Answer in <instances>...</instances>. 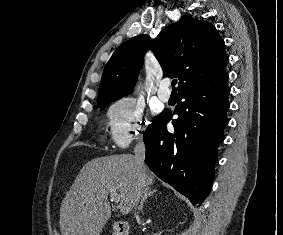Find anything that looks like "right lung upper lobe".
Masks as SVG:
<instances>
[{"instance_id":"cb5924a9","label":"right lung upper lobe","mask_w":283,"mask_h":235,"mask_svg":"<svg viewBox=\"0 0 283 235\" xmlns=\"http://www.w3.org/2000/svg\"><path fill=\"white\" fill-rule=\"evenodd\" d=\"M148 49H152L164 75L179 78L178 90L220 75L229 62L216 28L185 15L155 39L138 35L116 49L105 66L97 104L116 101L132 91Z\"/></svg>"}]
</instances>
